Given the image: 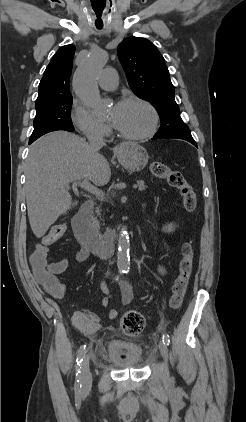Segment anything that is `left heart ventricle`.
<instances>
[{
	"instance_id": "obj_1",
	"label": "left heart ventricle",
	"mask_w": 246,
	"mask_h": 422,
	"mask_svg": "<svg viewBox=\"0 0 246 422\" xmlns=\"http://www.w3.org/2000/svg\"><path fill=\"white\" fill-rule=\"evenodd\" d=\"M110 118L115 126L128 134H141L151 124V114L146 107L138 103L118 104L110 111Z\"/></svg>"
}]
</instances>
